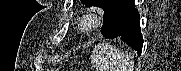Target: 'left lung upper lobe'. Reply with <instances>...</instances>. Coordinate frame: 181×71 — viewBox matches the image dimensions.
<instances>
[{"label":"left lung upper lobe","mask_w":181,"mask_h":71,"mask_svg":"<svg viewBox=\"0 0 181 71\" xmlns=\"http://www.w3.org/2000/svg\"><path fill=\"white\" fill-rule=\"evenodd\" d=\"M81 2L88 7H101L105 12H107L117 2V0H81Z\"/></svg>","instance_id":"obj_1"}]
</instances>
